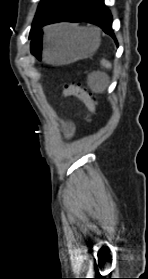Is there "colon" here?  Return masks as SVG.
Returning a JSON list of instances; mask_svg holds the SVG:
<instances>
[{"label":"colon","instance_id":"obj_1","mask_svg":"<svg viewBox=\"0 0 148 279\" xmlns=\"http://www.w3.org/2000/svg\"><path fill=\"white\" fill-rule=\"evenodd\" d=\"M63 94L65 96H75L82 101L88 108L91 116L97 112V101L92 93H90L80 83L65 84L63 87Z\"/></svg>","mask_w":148,"mask_h":279}]
</instances>
